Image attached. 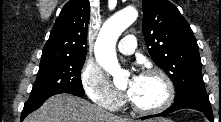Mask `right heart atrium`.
Here are the masks:
<instances>
[{
    "instance_id": "d8ad5b80",
    "label": "right heart atrium",
    "mask_w": 221,
    "mask_h": 122,
    "mask_svg": "<svg viewBox=\"0 0 221 122\" xmlns=\"http://www.w3.org/2000/svg\"><path fill=\"white\" fill-rule=\"evenodd\" d=\"M80 80L88 98L98 106L117 110L123 104V96L108 80L97 64L87 61L81 70Z\"/></svg>"
}]
</instances>
